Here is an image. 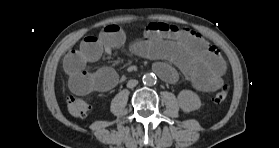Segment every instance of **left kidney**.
Listing matches in <instances>:
<instances>
[{
    "instance_id": "1",
    "label": "left kidney",
    "mask_w": 279,
    "mask_h": 148,
    "mask_svg": "<svg viewBox=\"0 0 279 148\" xmlns=\"http://www.w3.org/2000/svg\"><path fill=\"white\" fill-rule=\"evenodd\" d=\"M178 103L184 112L198 110L201 107L200 97L191 90H182L178 94Z\"/></svg>"
}]
</instances>
